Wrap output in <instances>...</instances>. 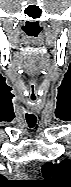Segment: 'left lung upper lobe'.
Returning a JSON list of instances; mask_svg holds the SVG:
<instances>
[{
  "label": "left lung upper lobe",
  "instance_id": "5c2ea615",
  "mask_svg": "<svg viewBox=\"0 0 71 187\" xmlns=\"http://www.w3.org/2000/svg\"><path fill=\"white\" fill-rule=\"evenodd\" d=\"M45 180L40 181L43 187H71V160L59 164L47 162L42 167Z\"/></svg>",
  "mask_w": 71,
  "mask_h": 187
}]
</instances>
